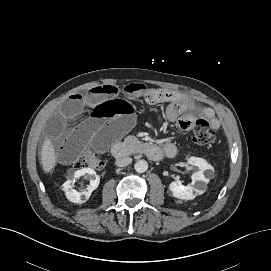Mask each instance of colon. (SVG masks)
I'll return each instance as SVG.
<instances>
[{"instance_id": "colon-1", "label": "colon", "mask_w": 271, "mask_h": 271, "mask_svg": "<svg viewBox=\"0 0 271 271\" xmlns=\"http://www.w3.org/2000/svg\"><path fill=\"white\" fill-rule=\"evenodd\" d=\"M177 125L184 130L193 129V140L200 146H211L216 139L215 129L211 118L202 111L198 116L188 115L177 121ZM104 159L101 155L86 151L75 163L77 168L101 169Z\"/></svg>"}]
</instances>
